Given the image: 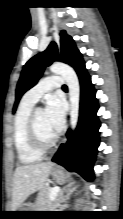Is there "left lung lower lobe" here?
Segmentation results:
<instances>
[{
  "mask_svg": "<svg viewBox=\"0 0 123 219\" xmlns=\"http://www.w3.org/2000/svg\"><path fill=\"white\" fill-rule=\"evenodd\" d=\"M75 71L81 86L78 125L74 132L68 130L66 134L68 141L61 144L52 161L92 181L94 178L93 164L99 146L100 122L96 115L99 106L95 98L96 91L84 62H81Z\"/></svg>",
  "mask_w": 123,
  "mask_h": 219,
  "instance_id": "1",
  "label": "left lung lower lobe"
}]
</instances>
